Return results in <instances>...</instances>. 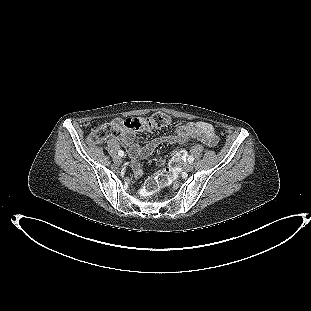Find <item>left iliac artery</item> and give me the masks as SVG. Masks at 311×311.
Here are the masks:
<instances>
[{"label":"left iliac artery","instance_id":"1","mask_svg":"<svg viewBox=\"0 0 311 311\" xmlns=\"http://www.w3.org/2000/svg\"><path fill=\"white\" fill-rule=\"evenodd\" d=\"M193 161H194L193 156H189V157H188V162H189V163H192Z\"/></svg>","mask_w":311,"mask_h":311}]
</instances>
